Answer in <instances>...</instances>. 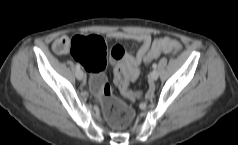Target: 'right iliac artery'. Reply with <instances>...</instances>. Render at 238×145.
I'll list each match as a JSON object with an SVG mask.
<instances>
[{
	"instance_id": "1",
	"label": "right iliac artery",
	"mask_w": 238,
	"mask_h": 145,
	"mask_svg": "<svg viewBox=\"0 0 238 145\" xmlns=\"http://www.w3.org/2000/svg\"><path fill=\"white\" fill-rule=\"evenodd\" d=\"M76 69L80 70V65L79 64H76Z\"/></svg>"
}]
</instances>
